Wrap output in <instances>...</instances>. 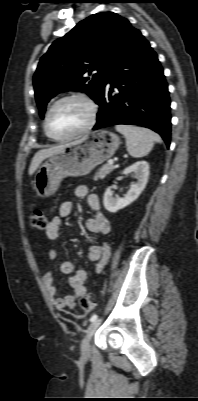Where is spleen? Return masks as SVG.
Returning <instances> with one entry per match:
<instances>
[{"instance_id":"1","label":"spleen","mask_w":198,"mask_h":401,"mask_svg":"<svg viewBox=\"0 0 198 401\" xmlns=\"http://www.w3.org/2000/svg\"><path fill=\"white\" fill-rule=\"evenodd\" d=\"M115 129L125 136L127 151L134 158L148 155L154 143L162 142L158 134L143 127L116 125Z\"/></svg>"}]
</instances>
